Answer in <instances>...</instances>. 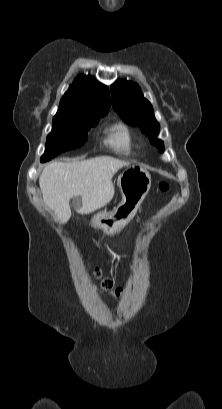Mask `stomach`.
<instances>
[{
  "instance_id": "1",
  "label": "stomach",
  "mask_w": 222,
  "mask_h": 409,
  "mask_svg": "<svg viewBox=\"0 0 222 409\" xmlns=\"http://www.w3.org/2000/svg\"><path fill=\"white\" fill-rule=\"evenodd\" d=\"M121 203L112 213L97 216L92 224L107 233H115L124 227L136 214L151 187L149 172L139 166L128 167L119 178Z\"/></svg>"
}]
</instances>
